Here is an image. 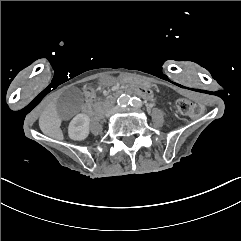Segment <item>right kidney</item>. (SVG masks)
Instances as JSON below:
<instances>
[{
    "label": "right kidney",
    "instance_id": "obj_1",
    "mask_svg": "<svg viewBox=\"0 0 241 241\" xmlns=\"http://www.w3.org/2000/svg\"><path fill=\"white\" fill-rule=\"evenodd\" d=\"M90 118L86 114L76 115L68 127V135L73 140H84L89 134Z\"/></svg>",
    "mask_w": 241,
    "mask_h": 241
}]
</instances>
